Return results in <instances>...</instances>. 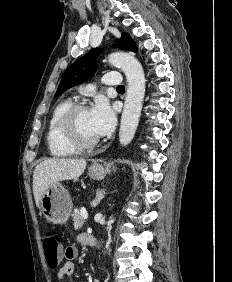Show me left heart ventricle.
I'll return each mask as SVG.
<instances>
[{"label": "left heart ventricle", "instance_id": "1", "mask_svg": "<svg viewBox=\"0 0 232 282\" xmlns=\"http://www.w3.org/2000/svg\"><path fill=\"white\" fill-rule=\"evenodd\" d=\"M77 126L80 135L85 140H94L99 137L93 129L89 110H85L79 113L77 117Z\"/></svg>", "mask_w": 232, "mask_h": 282}]
</instances>
